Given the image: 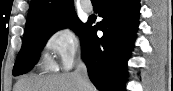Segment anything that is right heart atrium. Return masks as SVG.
Masks as SVG:
<instances>
[{"label":"right heart atrium","instance_id":"right-heart-atrium-1","mask_svg":"<svg viewBox=\"0 0 173 91\" xmlns=\"http://www.w3.org/2000/svg\"><path fill=\"white\" fill-rule=\"evenodd\" d=\"M46 47L56 57L59 67L69 70L82 49V40L75 28L66 25L50 33Z\"/></svg>","mask_w":173,"mask_h":91}]
</instances>
